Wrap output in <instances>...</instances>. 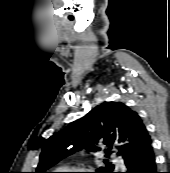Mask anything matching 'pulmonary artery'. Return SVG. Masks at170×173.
Returning <instances> with one entry per match:
<instances>
[{"label":"pulmonary artery","instance_id":"e3ab8cb5","mask_svg":"<svg viewBox=\"0 0 170 173\" xmlns=\"http://www.w3.org/2000/svg\"><path fill=\"white\" fill-rule=\"evenodd\" d=\"M117 165H122V161H117Z\"/></svg>","mask_w":170,"mask_h":173}]
</instances>
